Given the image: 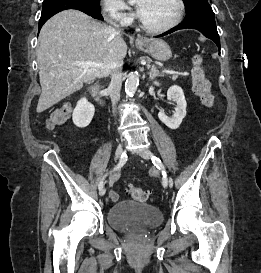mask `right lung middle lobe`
<instances>
[{"mask_svg":"<svg viewBox=\"0 0 261 273\" xmlns=\"http://www.w3.org/2000/svg\"><path fill=\"white\" fill-rule=\"evenodd\" d=\"M70 0H44L42 14H49L54 11L64 9L65 3ZM84 2L95 9L100 10V0H84Z\"/></svg>","mask_w":261,"mask_h":273,"instance_id":"right-lung-middle-lobe-1","label":"right lung middle lobe"}]
</instances>
